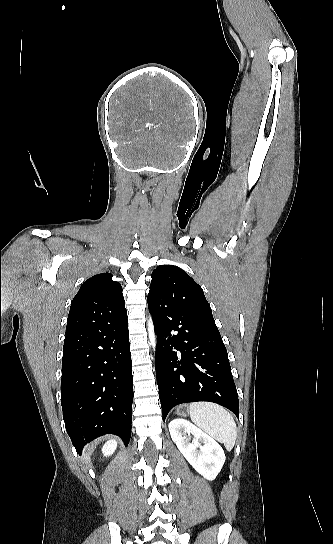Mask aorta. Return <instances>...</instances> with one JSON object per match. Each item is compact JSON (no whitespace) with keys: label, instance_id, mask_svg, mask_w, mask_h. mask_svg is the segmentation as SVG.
I'll return each instance as SVG.
<instances>
[{"label":"aorta","instance_id":"obj_1","mask_svg":"<svg viewBox=\"0 0 333 544\" xmlns=\"http://www.w3.org/2000/svg\"><path fill=\"white\" fill-rule=\"evenodd\" d=\"M147 329H148L149 344L152 346L153 350H155L156 339H155V333H154V325L151 318H149L148 320Z\"/></svg>","mask_w":333,"mask_h":544}]
</instances>
